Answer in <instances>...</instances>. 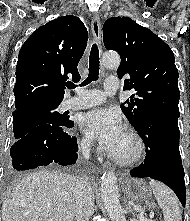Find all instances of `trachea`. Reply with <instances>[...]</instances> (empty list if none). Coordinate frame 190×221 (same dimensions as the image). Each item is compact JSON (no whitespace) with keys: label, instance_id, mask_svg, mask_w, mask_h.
I'll list each match as a JSON object with an SVG mask.
<instances>
[{"label":"trachea","instance_id":"obj_1","mask_svg":"<svg viewBox=\"0 0 190 221\" xmlns=\"http://www.w3.org/2000/svg\"><path fill=\"white\" fill-rule=\"evenodd\" d=\"M99 50L96 44L92 45L90 56H89V74L86 80L81 83L80 86H85L92 81H96L99 78ZM69 89H74L76 87L75 84L69 83L67 84Z\"/></svg>","mask_w":190,"mask_h":221}]
</instances>
